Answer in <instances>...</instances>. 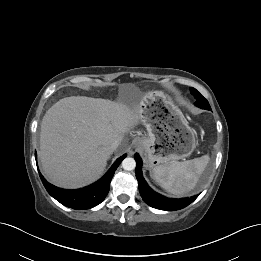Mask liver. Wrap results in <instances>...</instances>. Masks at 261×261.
Instances as JSON below:
<instances>
[{
	"label": "liver",
	"mask_w": 261,
	"mask_h": 261,
	"mask_svg": "<svg viewBox=\"0 0 261 261\" xmlns=\"http://www.w3.org/2000/svg\"><path fill=\"white\" fill-rule=\"evenodd\" d=\"M142 105L85 96L56 102L41 123L39 156L47 179L63 188L96 180L114 152L110 144L140 123Z\"/></svg>",
	"instance_id": "1"
}]
</instances>
